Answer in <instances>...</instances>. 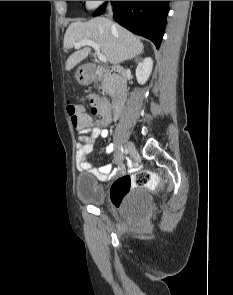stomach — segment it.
Listing matches in <instances>:
<instances>
[{
	"mask_svg": "<svg viewBox=\"0 0 233 295\" xmlns=\"http://www.w3.org/2000/svg\"><path fill=\"white\" fill-rule=\"evenodd\" d=\"M92 74L85 68L80 66L76 72V79L81 84L89 83L92 80Z\"/></svg>",
	"mask_w": 233,
	"mask_h": 295,
	"instance_id": "obj_1",
	"label": "stomach"
}]
</instances>
